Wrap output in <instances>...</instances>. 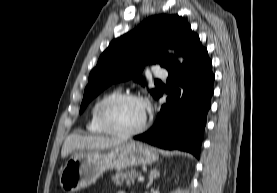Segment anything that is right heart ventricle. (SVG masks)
I'll use <instances>...</instances> for the list:
<instances>
[{"instance_id":"1","label":"right heart ventricle","mask_w":277,"mask_h":193,"mask_svg":"<svg viewBox=\"0 0 277 193\" xmlns=\"http://www.w3.org/2000/svg\"><path fill=\"white\" fill-rule=\"evenodd\" d=\"M119 93V90L115 89V90H112L104 95H102L101 97H99L91 106L90 108V112H89V118H88V121H87V124H86V128L87 130L92 133V134H97V135H100V134H105L106 132L101 128V126L99 125L98 123V120H97V110H98V107L100 105V103L105 100L106 98L110 97V96H113L115 94H118Z\"/></svg>"}]
</instances>
